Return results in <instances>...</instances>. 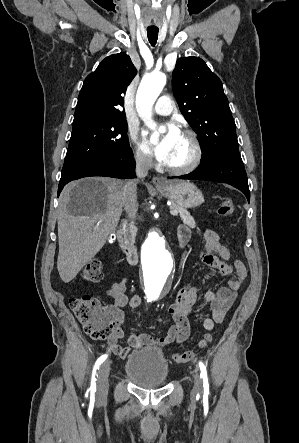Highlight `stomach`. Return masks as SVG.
<instances>
[{"instance_id": "1", "label": "stomach", "mask_w": 299, "mask_h": 443, "mask_svg": "<svg viewBox=\"0 0 299 443\" xmlns=\"http://www.w3.org/2000/svg\"><path fill=\"white\" fill-rule=\"evenodd\" d=\"M157 190L183 208H195L204 201L202 192L194 184L186 181L168 182L163 187H157Z\"/></svg>"}]
</instances>
